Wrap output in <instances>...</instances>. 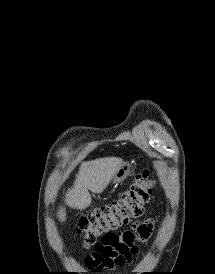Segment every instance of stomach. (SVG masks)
I'll list each match as a JSON object with an SVG mask.
<instances>
[{
    "label": "stomach",
    "instance_id": "1",
    "mask_svg": "<svg viewBox=\"0 0 215 274\" xmlns=\"http://www.w3.org/2000/svg\"><path fill=\"white\" fill-rule=\"evenodd\" d=\"M130 172V164L128 162H123L120 168L116 171L111 181L114 184L121 183L128 176Z\"/></svg>",
    "mask_w": 215,
    "mask_h": 274
}]
</instances>
